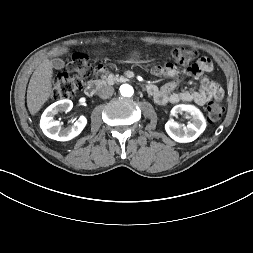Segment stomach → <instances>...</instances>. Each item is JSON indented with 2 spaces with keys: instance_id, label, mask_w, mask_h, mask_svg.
Returning a JSON list of instances; mask_svg holds the SVG:
<instances>
[{
  "instance_id": "0dacf381",
  "label": "stomach",
  "mask_w": 253,
  "mask_h": 253,
  "mask_svg": "<svg viewBox=\"0 0 253 253\" xmlns=\"http://www.w3.org/2000/svg\"><path fill=\"white\" fill-rule=\"evenodd\" d=\"M140 53L139 52H133L128 57V62L130 63H138L140 62Z\"/></svg>"
}]
</instances>
